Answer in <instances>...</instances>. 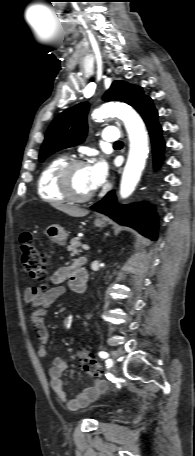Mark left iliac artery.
Returning <instances> with one entry per match:
<instances>
[{
	"instance_id": "44dca946",
	"label": "left iliac artery",
	"mask_w": 195,
	"mask_h": 456,
	"mask_svg": "<svg viewBox=\"0 0 195 456\" xmlns=\"http://www.w3.org/2000/svg\"><path fill=\"white\" fill-rule=\"evenodd\" d=\"M99 356H100L101 358H108V357H109V354H108L107 352H105V351H101V352H99Z\"/></svg>"
}]
</instances>
